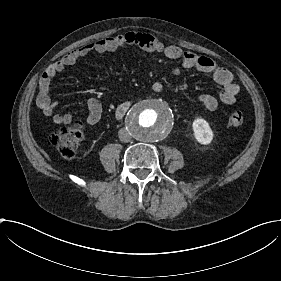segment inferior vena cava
Masks as SVG:
<instances>
[{
	"instance_id": "1",
	"label": "inferior vena cava",
	"mask_w": 281,
	"mask_h": 281,
	"mask_svg": "<svg viewBox=\"0 0 281 281\" xmlns=\"http://www.w3.org/2000/svg\"><path fill=\"white\" fill-rule=\"evenodd\" d=\"M118 136H119L120 141L125 142V143L130 142L132 139L131 134L125 128H122L119 130Z\"/></svg>"
}]
</instances>
